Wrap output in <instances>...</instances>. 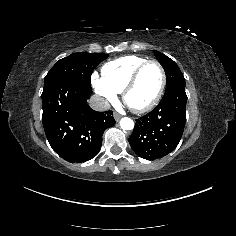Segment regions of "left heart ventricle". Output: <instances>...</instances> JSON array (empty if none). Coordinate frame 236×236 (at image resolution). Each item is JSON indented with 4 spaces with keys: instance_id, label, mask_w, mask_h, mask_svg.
<instances>
[{
    "instance_id": "b2bd125f",
    "label": "left heart ventricle",
    "mask_w": 236,
    "mask_h": 236,
    "mask_svg": "<svg viewBox=\"0 0 236 236\" xmlns=\"http://www.w3.org/2000/svg\"><path fill=\"white\" fill-rule=\"evenodd\" d=\"M160 82L161 72L158 66L155 64L146 66L128 94V103L134 107L147 105L156 96Z\"/></svg>"
}]
</instances>
